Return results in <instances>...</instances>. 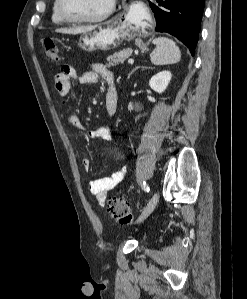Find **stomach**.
<instances>
[{"mask_svg": "<svg viewBox=\"0 0 247 299\" xmlns=\"http://www.w3.org/2000/svg\"><path fill=\"white\" fill-rule=\"evenodd\" d=\"M127 31L117 21H108L82 35L78 46L87 52L110 50L116 48L126 37Z\"/></svg>", "mask_w": 247, "mask_h": 299, "instance_id": "stomach-1", "label": "stomach"}]
</instances>
